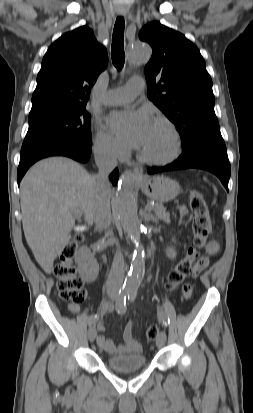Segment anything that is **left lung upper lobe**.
Here are the masks:
<instances>
[{"label":"left lung upper lobe","mask_w":253,"mask_h":413,"mask_svg":"<svg viewBox=\"0 0 253 413\" xmlns=\"http://www.w3.org/2000/svg\"><path fill=\"white\" fill-rule=\"evenodd\" d=\"M139 38L153 49L144 70L148 98L176 125L182 154L196 155L207 145L224 144L212 80L198 48L158 21L145 25Z\"/></svg>","instance_id":"left-lung-upper-lobe-1"}]
</instances>
